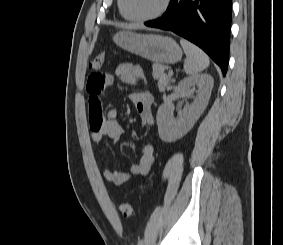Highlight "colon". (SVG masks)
<instances>
[{"mask_svg": "<svg viewBox=\"0 0 283 245\" xmlns=\"http://www.w3.org/2000/svg\"><path fill=\"white\" fill-rule=\"evenodd\" d=\"M105 63V54L101 53L96 55L91 62L89 63V67L93 70L100 69ZM120 212L124 218H132L135 214L134 207L131 203L125 202L122 203L119 207Z\"/></svg>", "mask_w": 283, "mask_h": 245, "instance_id": "1", "label": "colon"}]
</instances>
